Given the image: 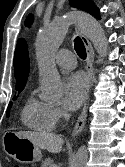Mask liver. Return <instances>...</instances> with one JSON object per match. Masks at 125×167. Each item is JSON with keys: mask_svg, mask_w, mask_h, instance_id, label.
Segmentation results:
<instances>
[{"mask_svg": "<svg viewBox=\"0 0 125 167\" xmlns=\"http://www.w3.org/2000/svg\"><path fill=\"white\" fill-rule=\"evenodd\" d=\"M36 145L38 148L45 149L51 153H59L64 143L61 136L53 133L20 131L16 133Z\"/></svg>", "mask_w": 125, "mask_h": 167, "instance_id": "1", "label": "liver"}]
</instances>
